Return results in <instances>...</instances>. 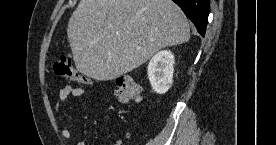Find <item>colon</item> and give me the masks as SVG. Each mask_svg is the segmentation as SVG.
I'll return each mask as SVG.
<instances>
[{
  "instance_id": "1",
  "label": "colon",
  "mask_w": 276,
  "mask_h": 145,
  "mask_svg": "<svg viewBox=\"0 0 276 145\" xmlns=\"http://www.w3.org/2000/svg\"><path fill=\"white\" fill-rule=\"evenodd\" d=\"M52 70L58 77L78 81L82 84L92 83V79L80 73L74 68L69 59L59 57L52 63ZM116 95L121 102L128 103L140 101L142 98V90L138 83L131 77L121 75L116 79Z\"/></svg>"
}]
</instances>
